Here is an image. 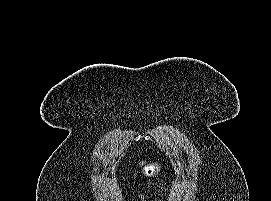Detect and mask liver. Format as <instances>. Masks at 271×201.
<instances>
[{
	"instance_id": "obj_1",
	"label": "liver",
	"mask_w": 271,
	"mask_h": 201,
	"mask_svg": "<svg viewBox=\"0 0 271 201\" xmlns=\"http://www.w3.org/2000/svg\"><path fill=\"white\" fill-rule=\"evenodd\" d=\"M141 164L143 165V164H144V162H141V163H140V165H141Z\"/></svg>"
}]
</instances>
